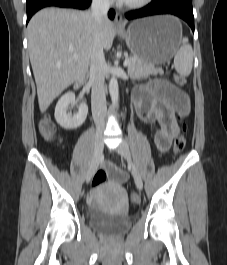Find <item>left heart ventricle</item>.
Instances as JSON below:
<instances>
[{
  "instance_id": "obj_1",
  "label": "left heart ventricle",
  "mask_w": 227,
  "mask_h": 265,
  "mask_svg": "<svg viewBox=\"0 0 227 265\" xmlns=\"http://www.w3.org/2000/svg\"><path fill=\"white\" fill-rule=\"evenodd\" d=\"M139 0H125L124 2H137Z\"/></svg>"
}]
</instances>
